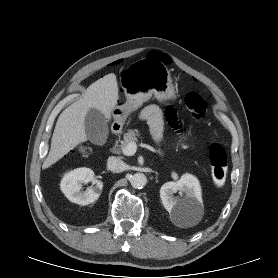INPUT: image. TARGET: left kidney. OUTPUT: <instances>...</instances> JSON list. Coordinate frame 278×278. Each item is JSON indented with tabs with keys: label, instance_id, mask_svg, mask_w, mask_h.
I'll use <instances>...</instances> for the list:
<instances>
[{
	"label": "left kidney",
	"instance_id": "1",
	"mask_svg": "<svg viewBox=\"0 0 278 278\" xmlns=\"http://www.w3.org/2000/svg\"><path fill=\"white\" fill-rule=\"evenodd\" d=\"M176 192L181 198L174 197ZM160 197L172 220L179 224L196 222L203 209L199 181L191 174H184L175 182H166L160 189Z\"/></svg>",
	"mask_w": 278,
	"mask_h": 278
}]
</instances>
